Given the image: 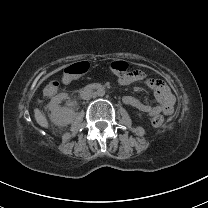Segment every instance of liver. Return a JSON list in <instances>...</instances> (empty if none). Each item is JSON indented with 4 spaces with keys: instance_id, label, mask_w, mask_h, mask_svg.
Instances as JSON below:
<instances>
[{
    "instance_id": "liver-1",
    "label": "liver",
    "mask_w": 208,
    "mask_h": 208,
    "mask_svg": "<svg viewBox=\"0 0 208 208\" xmlns=\"http://www.w3.org/2000/svg\"><path fill=\"white\" fill-rule=\"evenodd\" d=\"M41 100L38 99V102H40ZM34 117H35V121L36 123L41 126L44 129H49V122L47 120V118L45 117V115L41 112V110L39 108H35L34 109Z\"/></svg>"
}]
</instances>
